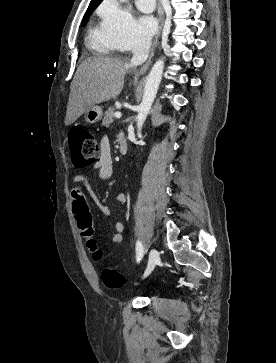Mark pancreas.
Instances as JSON below:
<instances>
[{
	"label": "pancreas",
	"mask_w": 276,
	"mask_h": 363,
	"mask_svg": "<svg viewBox=\"0 0 276 363\" xmlns=\"http://www.w3.org/2000/svg\"><path fill=\"white\" fill-rule=\"evenodd\" d=\"M115 108L109 107V109L105 112L104 118L102 120L103 126H109L114 121Z\"/></svg>",
	"instance_id": "obj_1"
}]
</instances>
